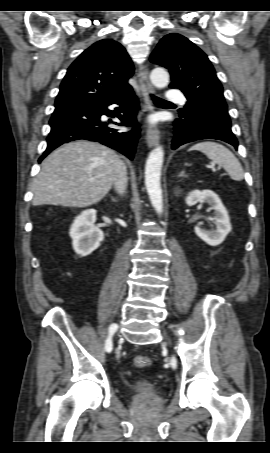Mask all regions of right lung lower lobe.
I'll return each mask as SVG.
<instances>
[{
    "label": "right lung lower lobe",
    "instance_id": "1",
    "mask_svg": "<svg viewBox=\"0 0 270 453\" xmlns=\"http://www.w3.org/2000/svg\"><path fill=\"white\" fill-rule=\"evenodd\" d=\"M114 104L119 107L112 110L110 105ZM138 109L139 102L131 87L107 100L55 108L49 122L51 131L47 137L48 146L39 162L63 143L78 139L100 142L132 160L140 132L135 117ZM102 115L116 116L121 123L114 124L131 126L133 129L119 132L109 127L111 121H101Z\"/></svg>",
    "mask_w": 270,
    "mask_h": 453
}]
</instances>
